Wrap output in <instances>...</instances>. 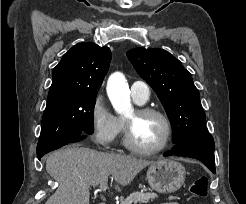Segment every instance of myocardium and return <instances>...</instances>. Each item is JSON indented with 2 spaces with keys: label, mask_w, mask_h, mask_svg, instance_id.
Masks as SVG:
<instances>
[{
  "label": "myocardium",
  "mask_w": 246,
  "mask_h": 204,
  "mask_svg": "<svg viewBox=\"0 0 246 204\" xmlns=\"http://www.w3.org/2000/svg\"><path fill=\"white\" fill-rule=\"evenodd\" d=\"M137 115H156L160 117L166 128L165 137L162 143L155 148H144L135 143L133 139L132 123L128 119H124V145L131 151L142 155H153L163 151L170 143L173 135V127L169 117L161 110L153 107H140L136 110Z\"/></svg>",
  "instance_id": "f54148a6"
}]
</instances>
